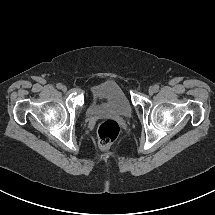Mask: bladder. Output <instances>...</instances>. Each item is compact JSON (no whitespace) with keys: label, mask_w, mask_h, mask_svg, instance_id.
I'll return each instance as SVG.
<instances>
[{"label":"bladder","mask_w":215,"mask_h":215,"mask_svg":"<svg viewBox=\"0 0 215 215\" xmlns=\"http://www.w3.org/2000/svg\"><path fill=\"white\" fill-rule=\"evenodd\" d=\"M88 112L90 115L109 112L122 118H129L133 113V107L123 88L116 81L105 80L91 89Z\"/></svg>","instance_id":"31cf9c89"}]
</instances>
